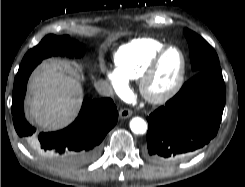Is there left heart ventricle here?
Instances as JSON below:
<instances>
[{"label": "left heart ventricle", "mask_w": 245, "mask_h": 187, "mask_svg": "<svg viewBox=\"0 0 245 187\" xmlns=\"http://www.w3.org/2000/svg\"><path fill=\"white\" fill-rule=\"evenodd\" d=\"M181 65V59L177 51H169L161 61L158 74L151 84L153 92H161L167 89L175 80Z\"/></svg>", "instance_id": "b2bd125f"}]
</instances>
